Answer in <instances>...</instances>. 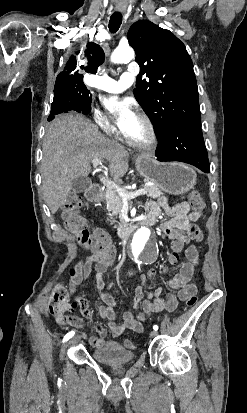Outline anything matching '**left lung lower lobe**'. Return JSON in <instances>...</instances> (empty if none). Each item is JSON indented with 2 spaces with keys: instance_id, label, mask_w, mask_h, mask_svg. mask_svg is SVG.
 <instances>
[{
  "instance_id": "1",
  "label": "left lung lower lobe",
  "mask_w": 247,
  "mask_h": 413,
  "mask_svg": "<svg viewBox=\"0 0 247 413\" xmlns=\"http://www.w3.org/2000/svg\"><path fill=\"white\" fill-rule=\"evenodd\" d=\"M155 155L158 161H180L209 173V160L201 126L175 124L160 136Z\"/></svg>"
}]
</instances>
